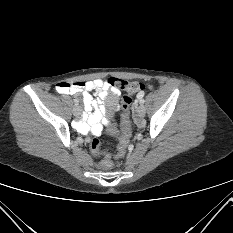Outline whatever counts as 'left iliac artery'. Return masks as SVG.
Returning a JSON list of instances; mask_svg holds the SVG:
<instances>
[{"label":"left iliac artery","mask_w":233,"mask_h":233,"mask_svg":"<svg viewBox=\"0 0 233 233\" xmlns=\"http://www.w3.org/2000/svg\"><path fill=\"white\" fill-rule=\"evenodd\" d=\"M144 95V94H143ZM143 96L141 97H138L140 99V104L143 105L144 104V99L142 98Z\"/></svg>","instance_id":"44dca946"}]
</instances>
